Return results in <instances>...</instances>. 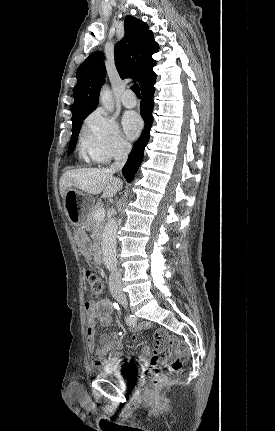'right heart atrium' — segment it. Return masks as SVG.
<instances>
[{
  "mask_svg": "<svg viewBox=\"0 0 275 431\" xmlns=\"http://www.w3.org/2000/svg\"><path fill=\"white\" fill-rule=\"evenodd\" d=\"M80 149L90 161L105 164L126 155L130 144L117 121L97 109L85 120L79 136Z\"/></svg>",
  "mask_w": 275,
  "mask_h": 431,
  "instance_id": "obj_1",
  "label": "right heart atrium"
}]
</instances>
